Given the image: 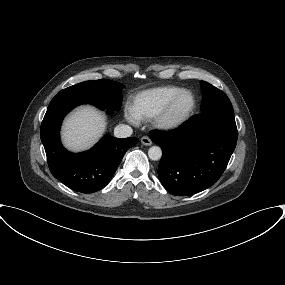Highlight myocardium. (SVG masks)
<instances>
[{
	"mask_svg": "<svg viewBox=\"0 0 285 285\" xmlns=\"http://www.w3.org/2000/svg\"><path fill=\"white\" fill-rule=\"evenodd\" d=\"M185 96H190L192 99L189 108L182 114L177 115L175 109L178 103ZM197 106L195 95L188 90H184L172 98L167 105L156 115L155 124L158 128L166 131H173L184 126L194 114Z\"/></svg>",
	"mask_w": 285,
	"mask_h": 285,
	"instance_id": "obj_1",
	"label": "myocardium"
}]
</instances>
